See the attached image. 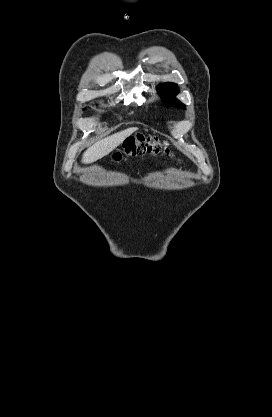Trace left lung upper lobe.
I'll return each mask as SVG.
<instances>
[{
    "label": "left lung upper lobe",
    "mask_w": 272,
    "mask_h": 417,
    "mask_svg": "<svg viewBox=\"0 0 272 417\" xmlns=\"http://www.w3.org/2000/svg\"><path fill=\"white\" fill-rule=\"evenodd\" d=\"M157 90L160 92L162 101L172 107H178L185 109V105L176 99L178 93V86L174 83H164L159 85Z\"/></svg>",
    "instance_id": "5c2ea615"
}]
</instances>
